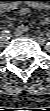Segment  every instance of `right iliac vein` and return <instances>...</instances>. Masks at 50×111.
<instances>
[{
  "instance_id": "63e3f726",
  "label": "right iliac vein",
  "mask_w": 50,
  "mask_h": 111,
  "mask_svg": "<svg viewBox=\"0 0 50 111\" xmlns=\"http://www.w3.org/2000/svg\"><path fill=\"white\" fill-rule=\"evenodd\" d=\"M0 43L1 45H5L7 43L6 36L3 33L0 36Z\"/></svg>"
}]
</instances>
